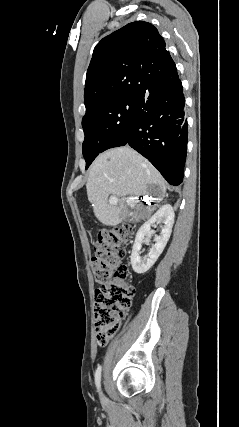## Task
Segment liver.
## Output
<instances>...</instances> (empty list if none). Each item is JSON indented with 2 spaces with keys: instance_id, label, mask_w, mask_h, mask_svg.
<instances>
[{
  "instance_id": "1",
  "label": "liver",
  "mask_w": 239,
  "mask_h": 427,
  "mask_svg": "<svg viewBox=\"0 0 239 427\" xmlns=\"http://www.w3.org/2000/svg\"><path fill=\"white\" fill-rule=\"evenodd\" d=\"M150 185L159 187L161 197L165 195L166 182L158 170L135 150L124 146L95 159L86 189L96 218L104 225L115 226L135 214L129 210L127 196L149 194ZM109 197H117L118 203L110 204Z\"/></svg>"
}]
</instances>
